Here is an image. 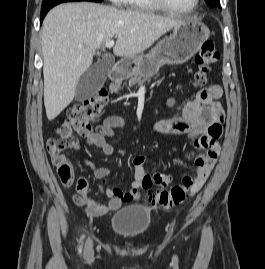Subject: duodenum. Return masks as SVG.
I'll list each match as a JSON object with an SVG mask.
<instances>
[{
  "mask_svg": "<svg viewBox=\"0 0 265 269\" xmlns=\"http://www.w3.org/2000/svg\"><path fill=\"white\" fill-rule=\"evenodd\" d=\"M126 73L127 69L122 63L119 62L112 67L110 76L113 81H118L122 79L126 75Z\"/></svg>",
  "mask_w": 265,
  "mask_h": 269,
  "instance_id": "410a0bca",
  "label": "duodenum"
}]
</instances>
